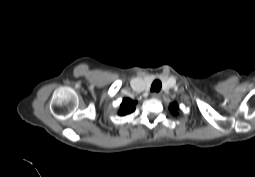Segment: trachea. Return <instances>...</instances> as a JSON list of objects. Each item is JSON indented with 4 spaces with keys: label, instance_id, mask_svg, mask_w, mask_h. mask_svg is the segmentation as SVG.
Instances as JSON below:
<instances>
[{
    "label": "trachea",
    "instance_id": "1",
    "mask_svg": "<svg viewBox=\"0 0 255 177\" xmlns=\"http://www.w3.org/2000/svg\"><path fill=\"white\" fill-rule=\"evenodd\" d=\"M162 83L160 80H155L151 85L152 92H159L161 90Z\"/></svg>",
    "mask_w": 255,
    "mask_h": 177
}]
</instances>
